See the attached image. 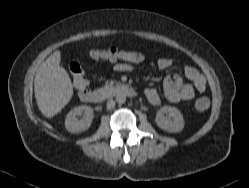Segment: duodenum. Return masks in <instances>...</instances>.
<instances>
[{
	"label": "duodenum",
	"mask_w": 249,
	"mask_h": 188,
	"mask_svg": "<svg viewBox=\"0 0 249 188\" xmlns=\"http://www.w3.org/2000/svg\"><path fill=\"white\" fill-rule=\"evenodd\" d=\"M123 95V96H134V89L126 84H117L115 86L99 88L93 91H88L86 94V100L91 103H101L112 96Z\"/></svg>",
	"instance_id": "410a0bca"
}]
</instances>
